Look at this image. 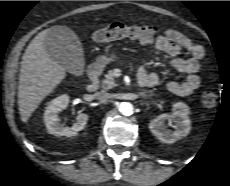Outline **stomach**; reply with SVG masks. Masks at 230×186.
<instances>
[{
  "instance_id": "0dacf381",
  "label": "stomach",
  "mask_w": 230,
  "mask_h": 186,
  "mask_svg": "<svg viewBox=\"0 0 230 186\" xmlns=\"http://www.w3.org/2000/svg\"><path fill=\"white\" fill-rule=\"evenodd\" d=\"M114 58H115L114 55H111L109 58H107V57H101V58H99V62L101 64H103V65H106V64L110 63L111 61H113Z\"/></svg>"
}]
</instances>
